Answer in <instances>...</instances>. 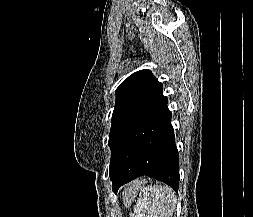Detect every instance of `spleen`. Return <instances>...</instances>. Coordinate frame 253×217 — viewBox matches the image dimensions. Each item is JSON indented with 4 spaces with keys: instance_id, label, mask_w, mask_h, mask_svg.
I'll return each mask as SVG.
<instances>
[{
    "instance_id": "obj_1",
    "label": "spleen",
    "mask_w": 253,
    "mask_h": 217,
    "mask_svg": "<svg viewBox=\"0 0 253 217\" xmlns=\"http://www.w3.org/2000/svg\"><path fill=\"white\" fill-rule=\"evenodd\" d=\"M135 192L125 196V204L133 200ZM175 196L169 186L150 185L140 193L132 217H172Z\"/></svg>"
}]
</instances>
